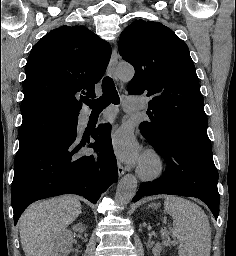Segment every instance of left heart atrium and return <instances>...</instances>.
<instances>
[{"label": "left heart atrium", "mask_w": 236, "mask_h": 256, "mask_svg": "<svg viewBox=\"0 0 236 256\" xmlns=\"http://www.w3.org/2000/svg\"><path fill=\"white\" fill-rule=\"evenodd\" d=\"M115 155L122 161L133 163L139 161L142 149L131 129L121 127L110 138Z\"/></svg>", "instance_id": "39dd6f15"}]
</instances>
